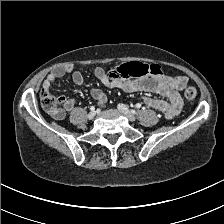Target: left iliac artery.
Here are the masks:
<instances>
[{
    "instance_id": "1",
    "label": "left iliac artery",
    "mask_w": 224,
    "mask_h": 224,
    "mask_svg": "<svg viewBox=\"0 0 224 224\" xmlns=\"http://www.w3.org/2000/svg\"><path fill=\"white\" fill-rule=\"evenodd\" d=\"M136 107H137V108H140V107H141V105H140V104H137V105H136Z\"/></svg>"
}]
</instances>
